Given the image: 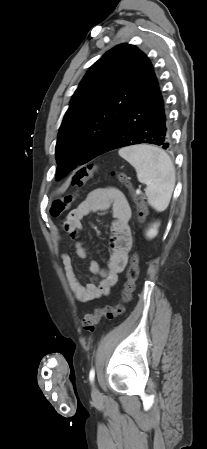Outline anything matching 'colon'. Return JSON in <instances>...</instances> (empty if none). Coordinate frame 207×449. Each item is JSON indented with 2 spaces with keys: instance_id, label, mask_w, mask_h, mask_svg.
<instances>
[{
  "instance_id": "obj_1",
  "label": "colon",
  "mask_w": 207,
  "mask_h": 449,
  "mask_svg": "<svg viewBox=\"0 0 207 449\" xmlns=\"http://www.w3.org/2000/svg\"><path fill=\"white\" fill-rule=\"evenodd\" d=\"M97 170L96 165H88L81 167L77 170L75 175L72 178V185L77 188H81L93 175V173ZM115 176L117 180L124 185L132 195L134 202L137 207V216L140 221L145 218L146 208L143 201V198L132 188V185L128 179V177L122 172H116ZM76 193H67L57 199L51 208V213L54 217H59L66 210H68L74 201L76 200ZM139 275V256L138 254H133L130 259V265L127 270V279L124 284L123 294L121 298V302L116 306H106L101 309H97L94 313L86 314L82 320V328L86 332H93L97 323L102 319L106 318L108 320L116 319L124 312V304L127 303L131 299L132 292L135 288V282Z\"/></svg>"
}]
</instances>
